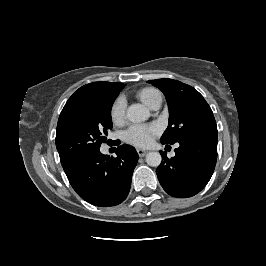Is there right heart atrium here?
Wrapping results in <instances>:
<instances>
[{
  "instance_id": "obj_1",
  "label": "right heart atrium",
  "mask_w": 266,
  "mask_h": 266,
  "mask_svg": "<svg viewBox=\"0 0 266 266\" xmlns=\"http://www.w3.org/2000/svg\"><path fill=\"white\" fill-rule=\"evenodd\" d=\"M126 102L125 99L120 96L113 103L111 108V118L114 123H122L125 120Z\"/></svg>"
}]
</instances>
